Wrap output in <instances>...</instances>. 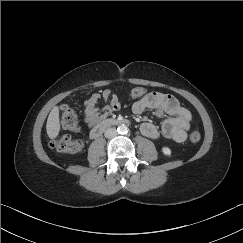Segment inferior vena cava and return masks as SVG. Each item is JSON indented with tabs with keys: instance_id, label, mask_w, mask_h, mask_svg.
Instances as JSON below:
<instances>
[{
	"instance_id": "602c4592",
	"label": "inferior vena cava",
	"mask_w": 243,
	"mask_h": 243,
	"mask_svg": "<svg viewBox=\"0 0 243 243\" xmlns=\"http://www.w3.org/2000/svg\"><path fill=\"white\" fill-rule=\"evenodd\" d=\"M116 135H117V131L115 128H108L104 133V136L109 139L115 137Z\"/></svg>"
}]
</instances>
